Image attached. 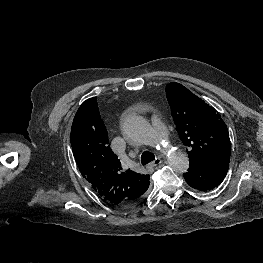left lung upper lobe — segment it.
I'll return each mask as SVG.
<instances>
[{
    "mask_svg": "<svg viewBox=\"0 0 263 263\" xmlns=\"http://www.w3.org/2000/svg\"><path fill=\"white\" fill-rule=\"evenodd\" d=\"M166 96L179 137L189 148L190 164H229L228 129L216 110L176 82L166 86Z\"/></svg>",
    "mask_w": 263,
    "mask_h": 263,
    "instance_id": "left-lung-upper-lobe-1",
    "label": "left lung upper lobe"
}]
</instances>
